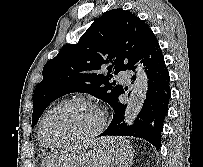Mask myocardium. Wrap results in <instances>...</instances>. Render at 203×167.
Returning <instances> with one entry per match:
<instances>
[{
	"label": "myocardium",
	"mask_w": 203,
	"mask_h": 167,
	"mask_svg": "<svg viewBox=\"0 0 203 167\" xmlns=\"http://www.w3.org/2000/svg\"><path fill=\"white\" fill-rule=\"evenodd\" d=\"M67 104H83V105H86V106L90 107L91 109H93L99 119L98 125L96 126V128L94 130H92L88 134H86L82 137L76 138V139H71V140L61 141V142L48 141L44 135V124H45L46 119L52 112H54L55 110L59 109L60 107H62L64 105H67ZM105 124H106V117H105L103 111L93 101H91L90 99L83 97V96H76V97L64 99V100L60 101L59 103H57L56 105H54L53 107H51L42 116V118L39 122L38 134H39L40 141L44 145H49L52 147L69 146V145L83 143V142L93 140L103 131Z\"/></svg>",
	"instance_id": "f54148a6"
}]
</instances>
